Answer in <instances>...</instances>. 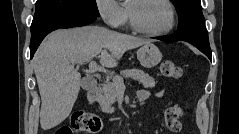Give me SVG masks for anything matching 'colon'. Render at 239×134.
Here are the masks:
<instances>
[{"instance_id": "obj_1", "label": "colon", "mask_w": 239, "mask_h": 134, "mask_svg": "<svg viewBox=\"0 0 239 134\" xmlns=\"http://www.w3.org/2000/svg\"><path fill=\"white\" fill-rule=\"evenodd\" d=\"M161 74L169 79H179L182 69L172 60H165L161 64ZM184 114V107L178 104L172 105L165 111V123L169 130L178 133L181 130L180 117ZM101 121L98 117L85 112H77L72 116L69 126L60 127L55 134H73L74 132L99 133Z\"/></svg>"}]
</instances>
